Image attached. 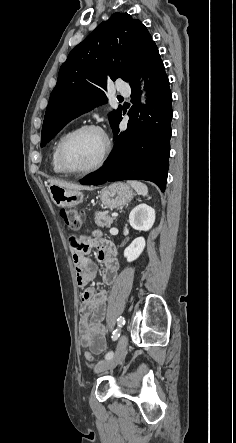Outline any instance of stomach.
Masks as SVG:
<instances>
[{
    "label": "stomach",
    "instance_id": "obj_1",
    "mask_svg": "<svg viewBox=\"0 0 236 443\" xmlns=\"http://www.w3.org/2000/svg\"><path fill=\"white\" fill-rule=\"evenodd\" d=\"M51 199L58 207H74L83 201V194L76 189L50 185L48 188ZM133 190L125 183L117 182L106 186L101 191L102 204L109 209L128 204L133 198Z\"/></svg>",
    "mask_w": 236,
    "mask_h": 443
}]
</instances>
